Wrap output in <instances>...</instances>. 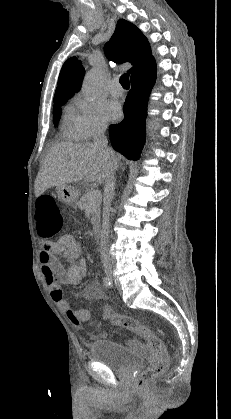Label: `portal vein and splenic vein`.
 Returning <instances> with one entry per match:
<instances>
[{
    "instance_id": "1",
    "label": "portal vein and splenic vein",
    "mask_w": 231,
    "mask_h": 419,
    "mask_svg": "<svg viewBox=\"0 0 231 419\" xmlns=\"http://www.w3.org/2000/svg\"><path fill=\"white\" fill-rule=\"evenodd\" d=\"M101 197V193L99 190H93L88 194V198L90 201L98 199Z\"/></svg>"
}]
</instances>
